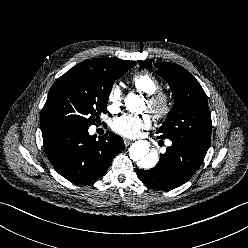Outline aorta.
<instances>
[{
  "instance_id": "obj_1",
  "label": "aorta",
  "mask_w": 248,
  "mask_h": 248,
  "mask_svg": "<svg viewBox=\"0 0 248 248\" xmlns=\"http://www.w3.org/2000/svg\"><path fill=\"white\" fill-rule=\"evenodd\" d=\"M142 99L135 94H129L125 98V106L127 110L136 112ZM150 143L146 140L135 141L129 149V156L133 161L137 162V165L144 169H150L154 167L158 161V154L155 151H150Z\"/></svg>"
}]
</instances>
